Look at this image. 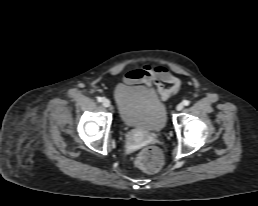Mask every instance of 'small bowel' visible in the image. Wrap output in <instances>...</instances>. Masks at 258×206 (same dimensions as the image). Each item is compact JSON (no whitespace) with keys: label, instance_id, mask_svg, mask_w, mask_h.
I'll use <instances>...</instances> for the list:
<instances>
[{"label":"small bowel","instance_id":"1","mask_svg":"<svg viewBox=\"0 0 258 206\" xmlns=\"http://www.w3.org/2000/svg\"><path fill=\"white\" fill-rule=\"evenodd\" d=\"M123 81L126 84H143L147 87L155 85L162 101L178 94L182 88V80L166 67L160 65H144L141 68L131 70L125 75ZM165 83L170 86L165 87Z\"/></svg>","mask_w":258,"mask_h":206}]
</instances>
